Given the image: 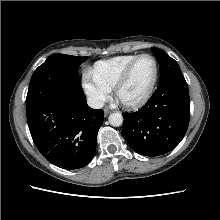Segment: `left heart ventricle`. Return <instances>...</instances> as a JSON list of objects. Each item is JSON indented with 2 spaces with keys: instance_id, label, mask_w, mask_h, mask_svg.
Returning a JSON list of instances; mask_svg holds the SVG:
<instances>
[{
  "instance_id": "obj_1",
  "label": "left heart ventricle",
  "mask_w": 220,
  "mask_h": 220,
  "mask_svg": "<svg viewBox=\"0 0 220 220\" xmlns=\"http://www.w3.org/2000/svg\"><path fill=\"white\" fill-rule=\"evenodd\" d=\"M155 74L152 59L142 58L135 66L130 79L120 90L119 96L124 101H135L145 95L150 88Z\"/></svg>"
}]
</instances>
